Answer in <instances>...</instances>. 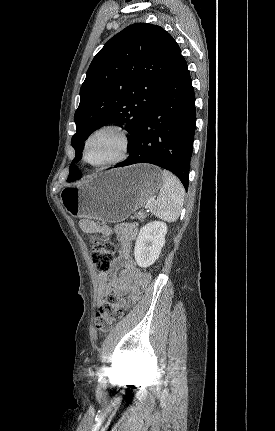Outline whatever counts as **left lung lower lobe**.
Wrapping results in <instances>:
<instances>
[{
  "label": "left lung lower lobe",
  "mask_w": 275,
  "mask_h": 431,
  "mask_svg": "<svg viewBox=\"0 0 275 431\" xmlns=\"http://www.w3.org/2000/svg\"><path fill=\"white\" fill-rule=\"evenodd\" d=\"M196 128L194 89L187 63L180 54L130 147L129 157L115 165L151 163L173 172L185 189ZM77 173L67 181L81 178Z\"/></svg>",
  "instance_id": "obj_1"
}]
</instances>
